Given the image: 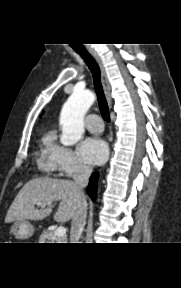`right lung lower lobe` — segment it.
I'll use <instances>...</instances> for the list:
<instances>
[{
  "instance_id": "right-lung-lower-lobe-1",
  "label": "right lung lower lobe",
  "mask_w": 181,
  "mask_h": 288,
  "mask_svg": "<svg viewBox=\"0 0 181 288\" xmlns=\"http://www.w3.org/2000/svg\"><path fill=\"white\" fill-rule=\"evenodd\" d=\"M98 173H93L90 177L89 185L87 186L88 195L94 200L96 197Z\"/></svg>"
}]
</instances>
